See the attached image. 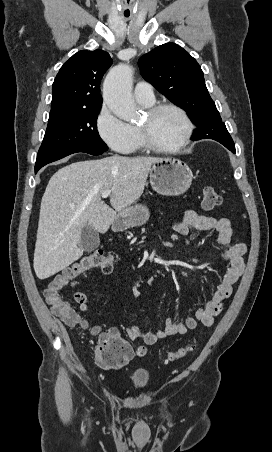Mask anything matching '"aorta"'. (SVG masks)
<instances>
[{
	"label": "aorta",
	"mask_w": 272,
	"mask_h": 452,
	"mask_svg": "<svg viewBox=\"0 0 272 452\" xmlns=\"http://www.w3.org/2000/svg\"><path fill=\"white\" fill-rule=\"evenodd\" d=\"M133 69L125 64L112 68L103 84V100L118 118L130 121L138 112L132 97Z\"/></svg>",
	"instance_id": "aorta-1"
}]
</instances>
